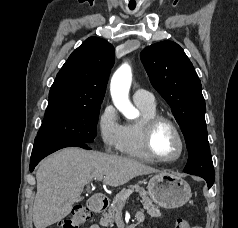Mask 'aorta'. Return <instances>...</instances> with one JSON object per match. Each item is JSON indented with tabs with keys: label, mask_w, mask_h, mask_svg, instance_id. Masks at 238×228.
<instances>
[{
	"label": "aorta",
	"mask_w": 238,
	"mask_h": 228,
	"mask_svg": "<svg viewBox=\"0 0 238 228\" xmlns=\"http://www.w3.org/2000/svg\"><path fill=\"white\" fill-rule=\"evenodd\" d=\"M132 82V71L128 64H123L114 73L110 91L114 105L127 118L137 115V110L129 100V89Z\"/></svg>",
	"instance_id": "762f6f07"
}]
</instances>
